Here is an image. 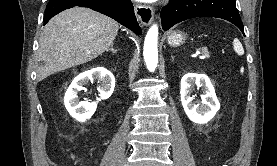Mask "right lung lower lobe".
Listing matches in <instances>:
<instances>
[{
    "label": "right lung lower lobe",
    "mask_w": 277,
    "mask_h": 166,
    "mask_svg": "<svg viewBox=\"0 0 277 166\" xmlns=\"http://www.w3.org/2000/svg\"><path fill=\"white\" fill-rule=\"evenodd\" d=\"M74 6L89 7L115 19L136 34H141L130 0H49L45 9L43 25L59 12Z\"/></svg>",
    "instance_id": "obj_1"
}]
</instances>
